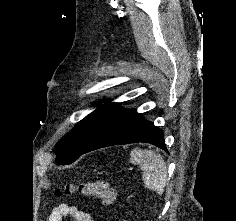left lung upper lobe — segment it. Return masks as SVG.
<instances>
[{"label":"left lung upper lobe","instance_id":"1","mask_svg":"<svg viewBox=\"0 0 236 221\" xmlns=\"http://www.w3.org/2000/svg\"><path fill=\"white\" fill-rule=\"evenodd\" d=\"M118 107V103H108L100 106L63 136L55 146L57 164L67 165L74 162L79 153L90 142L101 124Z\"/></svg>","mask_w":236,"mask_h":221}]
</instances>
